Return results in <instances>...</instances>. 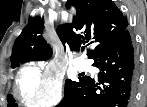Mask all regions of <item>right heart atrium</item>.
I'll use <instances>...</instances> for the list:
<instances>
[{
  "mask_svg": "<svg viewBox=\"0 0 147 107\" xmlns=\"http://www.w3.org/2000/svg\"><path fill=\"white\" fill-rule=\"evenodd\" d=\"M62 76L54 65L31 63L19 73L17 95L29 106H50L62 98Z\"/></svg>",
  "mask_w": 147,
  "mask_h": 107,
  "instance_id": "1",
  "label": "right heart atrium"
}]
</instances>
